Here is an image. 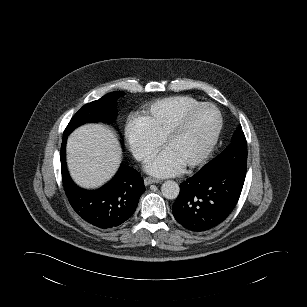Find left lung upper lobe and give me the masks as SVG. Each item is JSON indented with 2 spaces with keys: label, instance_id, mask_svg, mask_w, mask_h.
I'll return each instance as SVG.
<instances>
[{
  "label": "left lung upper lobe",
  "instance_id": "left-lung-upper-lobe-1",
  "mask_svg": "<svg viewBox=\"0 0 307 307\" xmlns=\"http://www.w3.org/2000/svg\"><path fill=\"white\" fill-rule=\"evenodd\" d=\"M247 167V142L241 126L235 132L232 143L215 159L202 167L211 168Z\"/></svg>",
  "mask_w": 307,
  "mask_h": 307
}]
</instances>
